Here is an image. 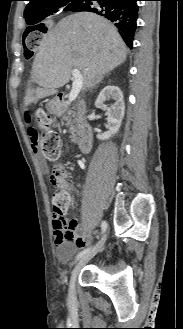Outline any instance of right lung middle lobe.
I'll return each instance as SVG.
<instances>
[{
    "instance_id": "right-lung-middle-lobe-1",
    "label": "right lung middle lobe",
    "mask_w": 183,
    "mask_h": 329,
    "mask_svg": "<svg viewBox=\"0 0 183 329\" xmlns=\"http://www.w3.org/2000/svg\"><path fill=\"white\" fill-rule=\"evenodd\" d=\"M82 0H61L58 1L50 6V9H48L45 13L42 15H37L34 17H31L29 20H26V22L29 25H34L33 27H30V30H41L42 24H39L40 21H42L45 17L52 15L54 13H57L59 11H71L74 7H76L79 2Z\"/></svg>"
}]
</instances>
